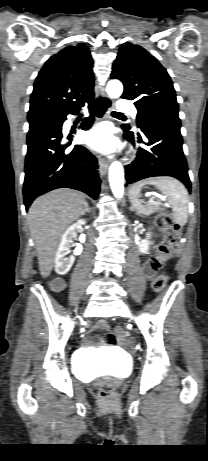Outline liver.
Masks as SVG:
<instances>
[{
  "label": "liver",
  "mask_w": 208,
  "mask_h": 461,
  "mask_svg": "<svg viewBox=\"0 0 208 461\" xmlns=\"http://www.w3.org/2000/svg\"><path fill=\"white\" fill-rule=\"evenodd\" d=\"M86 204L83 194L67 188L48 192L32 203L28 222L42 277L50 275L62 234L85 213Z\"/></svg>",
  "instance_id": "1"
}]
</instances>
